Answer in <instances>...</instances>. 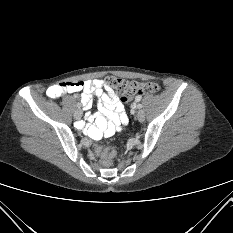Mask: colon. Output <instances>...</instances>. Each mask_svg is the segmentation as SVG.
<instances>
[{"instance_id":"1","label":"colon","mask_w":233,"mask_h":233,"mask_svg":"<svg viewBox=\"0 0 233 233\" xmlns=\"http://www.w3.org/2000/svg\"><path fill=\"white\" fill-rule=\"evenodd\" d=\"M105 87L109 90L121 95V100L127 102L131 100L135 95L156 93L160 87L154 82H136L130 81L116 76H108L104 81ZM125 130V125L122 126ZM94 152L100 156L103 165H110L114 159L115 152L112 148L103 147L99 144H94Z\"/></svg>"}]
</instances>
